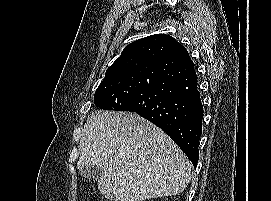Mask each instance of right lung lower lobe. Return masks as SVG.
I'll use <instances>...</instances> for the list:
<instances>
[{
  "mask_svg": "<svg viewBox=\"0 0 271 201\" xmlns=\"http://www.w3.org/2000/svg\"><path fill=\"white\" fill-rule=\"evenodd\" d=\"M147 89L121 101L118 111L136 112L164 132L197 166L202 133L203 106L197 90V75L181 44L150 69Z\"/></svg>",
  "mask_w": 271,
  "mask_h": 201,
  "instance_id": "98d812e1",
  "label": "right lung lower lobe"
}]
</instances>
